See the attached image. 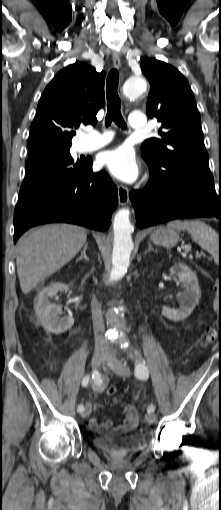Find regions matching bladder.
Masks as SVG:
<instances>
[{
	"instance_id": "31cf9c89",
	"label": "bladder",
	"mask_w": 221,
	"mask_h": 510,
	"mask_svg": "<svg viewBox=\"0 0 221 510\" xmlns=\"http://www.w3.org/2000/svg\"><path fill=\"white\" fill-rule=\"evenodd\" d=\"M95 447L110 455H132L146 448V441L141 436H126L109 433L93 439Z\"/></svg>"
}]
</instances>
